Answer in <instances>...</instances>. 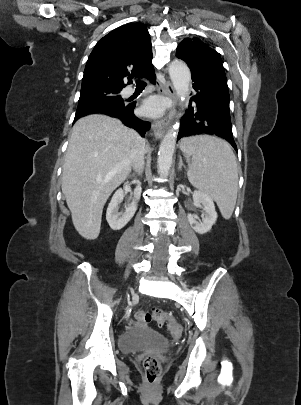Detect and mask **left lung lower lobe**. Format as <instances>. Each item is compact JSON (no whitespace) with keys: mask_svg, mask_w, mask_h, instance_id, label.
Segmentation results:
<instances>
[{"mask_svg":"<svg viewBox=\"0 0 301 405\" xmlns=\"http://www.w3.org/2000/svg\"><path fill=\"white\" fill-rule=\"evenodd\" d=\"M194 95L181 119L178 140L194 135H214L227 140L237 151L232 134L229 96L221 93L197 74H192Z\"/></svg>","mask_w":301,"mask_h":405,"instance_id":"left-lung-lower-lobe-1","label":"left lung lower lobe"}]
</instances>
